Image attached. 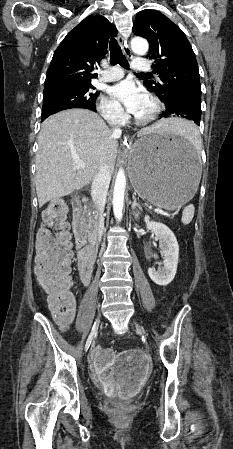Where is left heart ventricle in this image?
Segmentation results:
<instances>
[{
	"instance_id": "obj_1",
	"label": "left heart ventricle",
	"mask_w": 233,
	"mask_h": 449,
	"mask_svg": "<svg viewBox=\"0 0 233 449\" xmlns=\"http://www.w3.org/2000/svg\"><path fill=\"white\" fill-rule=\"evenodd\" d=\"M152 108L153 107H152L151 102L148 99H146V101L143 104L142 109L140 110V112L138 113L137 116H139V117L148 116L152 112Z\"/></svg>"
}]
</instances>
